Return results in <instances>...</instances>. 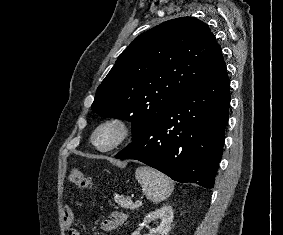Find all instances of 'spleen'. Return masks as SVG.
<instances>
[{"instance_id": "spleen-1", "label": "spleen", "mask_w": 283, "mask_h": 235, "mask_svg": "<svg viewBox=\"0 0 283 235\" xmlns=\"http://www.w3.org/2000/svg\"><path fill=\"white\" fill-rule=\"evenodd\" d=\"M135 177L142 187L143 194L153 203L166 200L174 188V182L168 176L146 166L138 167Z\"/></svg>"}]
</instances>
